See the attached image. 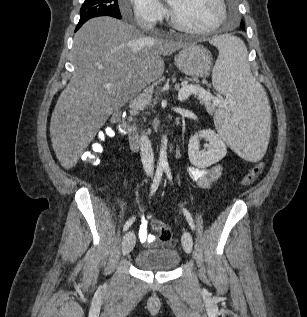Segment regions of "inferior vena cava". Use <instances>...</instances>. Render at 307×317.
<instances>
[{"label":"inferior vena cava","instance_id":"obj_1","mask_svg":"<svg viewBox=\"0 0 307 317\" xmlns=\"http://www.w3.org/2000/svg\"><path fill=\"white\" fill-rule=\"evenodd\" d=\"M140 155L143 168L147 175H152L154 171V153L148 133L143 131L140 137Z\"/></svg>","mask_w":307,"mask_h":317}]
</instances>
